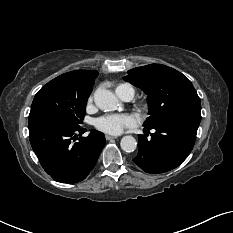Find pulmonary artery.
Listing matches in <instances>:
<instances>
[{"label":"pulmonary artery","mask_w":233,"mask_h":233,"mask_svg":"<svg viewBox=\"0 0 233 233\" xmlns=\"http://www.w3.org/2000/svg\"><path fill=\"white\" fill-rule=\"evenodd\" d=\"M134 93L132 91L127 90L121 98L125 101H130L133 98Z\"/></svg>","instance_id":"1"}]
</instances>
